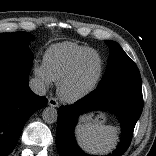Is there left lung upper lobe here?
<instances>
[{"instance_id": "left-lung-upper-lobe-1", "label": "left lung upper lobe", "mask_w": 156, "mask_h": 156, "mask_svg": "<svg viewBox=\"0 0 156 156\" xmlns=\"http://www.w3.org/2000/svg\"><path fill=\"white\" fill-rule=\"evenodd\" d=\"M105 43L110 49L109 62L97 88L110 84L141 86V76L136 64L116 42L106 40Z\"/></svg>"}]
</instances>
